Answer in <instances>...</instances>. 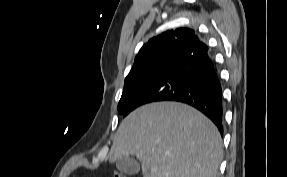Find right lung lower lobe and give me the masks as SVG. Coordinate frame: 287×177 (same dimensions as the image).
Here are the masks:
<instances>
[{
    "label": "right lung lower lobe",
    "mask_w": 287,
    "mask_h": 177,
    "mask_svg": "<svg viewBox=\"0 0 287 177\" xmlns=\"http://www.w3.org/2000/svg\"><path fill=\"white\" fill-rule=\"evenodd\" d=\"M197 53L153 81L126 109L124 116L140 105L154 101H178L205 114L223 134V97L220 78L208 47L199 38Z\"/></svg>",
    "instance_id": "obj_1"
}]
</instances>
